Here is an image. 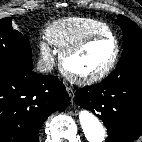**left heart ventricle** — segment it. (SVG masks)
Segmentation results:
<instances>
[{
	"label": "left heart ventricle",
	"mask_w": 142,
	"mask_h": 142,
	"mask_svg": "<svg viewBox=\"0 0 142 142\" xmlns=\"http://www.w3.org/2000/svg\"><path fill=\"white\" fill-rule=\"evenodd\" d=\"M115 52L112 40L104 39L91 43L78 54L70 57L67 68L78 75H90L102 70L111 61Z\"/></svg>",
	"instance_id": "obj_1"
}]
</instances>
